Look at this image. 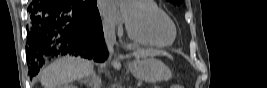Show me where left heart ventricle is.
I'll return each mask as SVG.
<instances>
[{"label": "left heart ventricle", "mask_w": 267, "mask_h": 88, "mask_svg": "<svg viewBox=\"0 0 267 88\" xmlns=\"http://www.w3.org/2000/svg\"><path fill=\"white\" fill-rule=\"evenodd\" d=\"M125 12L127 22L134 30L163 41L172 39L173 28L167 19L156 16L146 7L133 2L126 6Z\"/></svg>", "instance_id": "left-heart-ventricle-1"}]
</instances>
